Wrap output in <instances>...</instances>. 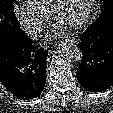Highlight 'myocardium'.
<instances>
[{
    "mask_svg": "<svg viewBox=\"0 0 113 113\" xmlns=\"http://www.w3.org/2000/svg\"><path fill=\"white\" fill-rule=\"evenodd\" d=\"M64 1L65 0H54L52 2L51 9H50V16L53 18L54 21H57V15H58L59 8ZM94 1L95 0H88L86 8H85V12L82 18L76 23L68 26L69 29H79V28L84 27L90 22L91 17H92V12H93Z\"/></svg>",
    "mask_w": 113,
    "mask_h": 113,
    "instance_id": "f54148a6",
    "label": "myocardium"
}]
</instances>
